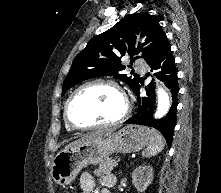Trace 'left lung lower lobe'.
Wrapping results in <instances>:
<instances>
[{
	"mask_svg": "<svg viewBox=\"0 0 221 193\" xmlns=\"http://www.w3.org/2000/svg\"><path fill=\"white\" fill-rule=\"evenodd\" d=\"M151 67V72L158 79L163 81L171 92L172 105L165 117L162 119L153 118V110L155 103V93L153 88V82L149 84L147 90V96H140V85L134 90V93L138 98V109L136 114L128 119L125 124H137L153 127L159 130L165 137L168 145H171L174 128L176 125V111H177V96L179 92L177 82V70L174 64V57L171 52V47L168 41L164 42L160 49L152 55L147 61ZM151 75V73H147ZM141 83V82H140Z\"/></svg>",
	"mask_w": 221,
	"mask_h": 193,
	"instance_id": "obj_1",
	"label": "left lung lower lobe"
}]
</instances>
